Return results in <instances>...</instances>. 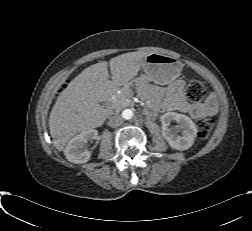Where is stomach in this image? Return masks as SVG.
<instances>
[{"mask_svg":"<svg viewBox=\"0 0 252 231\" xmlns=\"http://www.w3.org/2000/svg\"><path fill=\"white\" fill-rule=\"evenodd\" d=\"M143 70L145 75L137 81L138 88L148 81L172 87L178 74L177 64L174 60L167 55L158 53H152L146 57Z\"/></svg>","mask_w":252,"mask_h":231,"instance_id":"stomach-1","label":"stomach"}]
</instances>
